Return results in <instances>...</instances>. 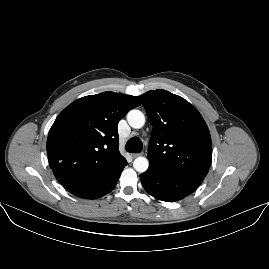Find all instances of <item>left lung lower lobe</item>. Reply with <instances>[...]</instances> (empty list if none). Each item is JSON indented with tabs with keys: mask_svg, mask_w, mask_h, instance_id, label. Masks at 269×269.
<instances>
[{
	"mask_svg": "<svg viewBox=\"0 0 269 269\" xmlns=\"http://www.w3.org/2000/svg\"><path fill=\"white\" fill-rule=\"evenodd\" d=\"M145 190L156 199L175 202L191 194L202 179L149 167L140 175Z\"/></svg>",
	"mask_w": 269,
	"mask_h": 269,
	"instance_id": "1",
	"label": "left lung lower lobe"
}]
</instances>
